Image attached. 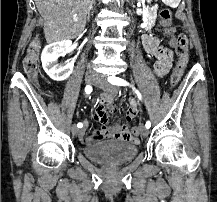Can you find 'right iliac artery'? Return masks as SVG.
I'll use <instances>...</instances> for the list:
<instances>
[{
	"instance_id": "right-iliac-artery-1",
	"label": "right iliac artery",
	"mask_w": 217,
	"mask_h": 202,
	"mask_svg": "<svg viewBox=\"0 0 217 202\" xmlns=\"http://www.w3.org/2000/svg\"><path fill=\"white\" fill-rule=\"evenodd\" d=\"M85 92H86L87 94H90V93L92 92V86L87 85V86L85 87ZM77 127H78V128H82V127H83V124L79 122V123L77 124Z\"/></svg>"
}]
</instances>
